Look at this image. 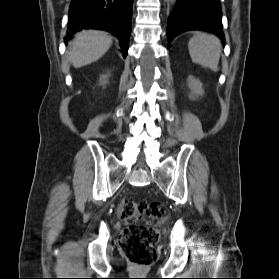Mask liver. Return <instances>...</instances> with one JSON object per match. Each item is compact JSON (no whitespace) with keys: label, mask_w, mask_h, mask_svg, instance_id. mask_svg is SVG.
<instances>
[{"label":"liver","mask_w":279,"mask_h":279,"mask_svg":"<svg viewBox=\"0 0 279 279\" xmlns=\"http://www.w3.org/2000/svg\"><path fill=\"white\" fill-rule=\"evenodd\" d=\"M112 38L103 31L85 30L76 34L68 51V60L75 68L91 64L111 47Z\"/></svg>","instance_id":"1"}]
</instances>
